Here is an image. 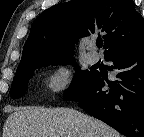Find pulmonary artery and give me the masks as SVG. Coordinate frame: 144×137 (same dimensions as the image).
Returning <instances> with one entry per match:
<instances>
[{
  "label": "pulmonary artery",
  "mask_w": 144,
  "mask_h": 137,
  "mask_svg": "<svg viewBox=\"0 0 144 137\" xmlns=\"http://www.w3.org/2000/svg\"><path fill=\"white\" fill-rule=\"evenodd\" d=\"M89 47H91V48L94 47L92 42L89 43ZM87 58H88L90 63H96L99 60V56L95 52L88 53Z\"/></svg>",
  "instance_id": "e3ab8cb5"
}]
</instances>
